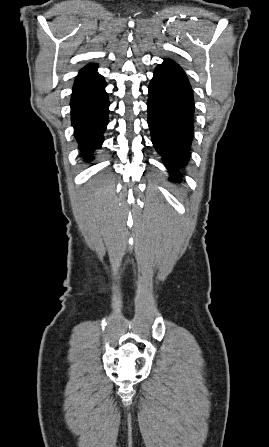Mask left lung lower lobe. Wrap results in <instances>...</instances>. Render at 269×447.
Wrapping results in <instances>:
<instances>
[{
	"mask_svg": "<svg viewBox=\"0 0 269 447\" xmlns=\"http://www.w3.org/2000/svg\"><path fill=\"white\" fill-rule=\"evenodd\" d=\"M148 125L155 149L162 156L170 180L182 181L180 169L188 163L193 138V91L183 69L165 59L149 85Z\"/></svg>",
	"mask_w": 269,
	"mask_h": 447,
	"instance_id": "1",
	"label": "left lung lower lobe"
}]
</instances>
